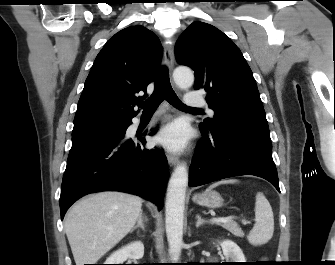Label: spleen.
Returning <instances> with one entry per match:
<instances>
[{
  "mask_svg": "<svg viewBox=\"0 0 335 265\" xmlns=\"http://www.w3.org/2000/svg\"><path fill=\"white\" fill-rule=\"evenodd\" d=\"M237 180L229 179L216 182L209 186L208 190L220 184L235 183ZM274 216L270 203L262 193L256 195L255 202V224L247 239L254 246L267 243L273 236Z\"/></svg>",
  "mask_w": 335,
  "mask_h": 265,
  "instance_id": "spleen-1",
  "label": "spleen"
}]
</instances>
